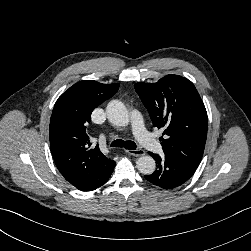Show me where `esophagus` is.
<instances>
[{
  "label": "esophagus",
  "mask_w": 251,
  "mask_h": 251,
  "mask_svg": "<svg viewBox=\"0 0 251 251\" xmlns=\"http://www.w3.org/2000/svg\"><path fill=\"white\" fill-rule=\"evenodd\" d=\"M126 153L135 157H140L145 154V151L142 149L126 150Z\"/></svg>",
  "instance_id": "esophagus-1"
}]
</instances>
